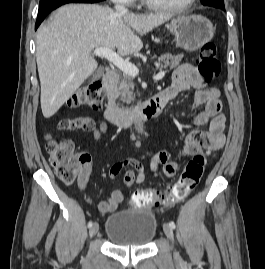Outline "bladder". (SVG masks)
I'll return each instance as SVG.
<instances>
[{"label": "bladder", "mask_w": 265, "mask_h": 269, "mask_svg": "<svg viewBox=\"0 0 265 269\" xmlns=\"http://www.w3.org/2000/svg\"><path fill=\"white\" fill-rule=\"evenodd\" d=\"M156 232V216L147 208L116 211L107 218L105 225L110 242L120 246H147Z\"/></svg>", "instance_id": "31cf9c89"}]
</instances>
